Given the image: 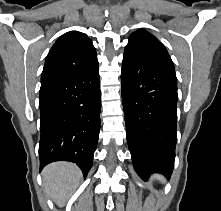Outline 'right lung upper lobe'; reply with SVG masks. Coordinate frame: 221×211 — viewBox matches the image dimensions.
<instances>
[{"label": "right lung upper lobe", "mask_w": 221, "mask_h": 211, "mask_svg": "<svg viewBox=\"0 0 221 211\" xmlns=\"http://www.w3.org/2000/svg\"><path fill=\"white\" fill-rule=\"evenodd\" d=\"M97 64V54L92 41L81 32H67L49 51L41 75V84L91 69Z\"/></svg>", "instance_id": "right-lung-upper-lobe-1"}]
</instances>
